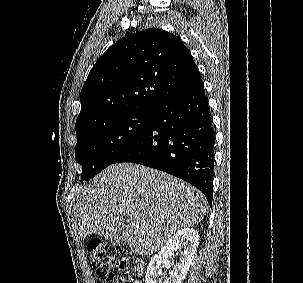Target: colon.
Masks as SVG:
<instances>
[{"instance_id":"obj_1","label":"colon","mask_w":303,"mask_h":283,"mask_svg":"<svg viewBox=\"0 0 303 283\" xmlns=\"http://www.w3.org/2000/svg\"><path fill=\"white\" fill-rule=\"evenodd\" d=\"M87 251L90 255L95 272L108 283H113L115 267L129 269L128 260L121 256L114 246L105 244L101 240L92 239L88 242Z\"/></svg>"}]
</instances>
